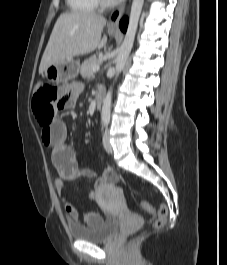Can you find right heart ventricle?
I'll use <instances>...</instances> for the list:
<instances>
[{
	"mask_svg": "<svg viewBox=\"0 0 227 265\" xmlns=\"http://www.w3.org/2000/svg\"><path fill=\"white\" fill-rule=\"evenodd\" d=\"M66 4L73 13H91L98 7L97 0H66Z\"/></svg>",
	"mask_w": 227,
	"mask_h": 265,
	"instance_id": "1",
	"label": "right heart ventricle"
}]
</instances>
